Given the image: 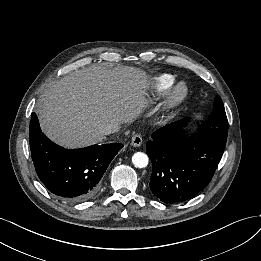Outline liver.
<instances>
[{
  "mask_svg": "<svg viewBox=\"0 0 261 261\" xmlns=\"http://www.w3.org/2000/svg\"><path fill=\"white\" fill-rule=\"evenodd\" d=\"M148 76L136 67L112 70L99 65L74 71L51 85L39 101L44 133L56 143L77 148L103 141L102 129L128 123L148 105Z\"/></svg>",
  "mask_w": 261,
  "mask_h": 261,
  "instance_id": "liver-1",
  "label": "liver"
}]
</instances>
